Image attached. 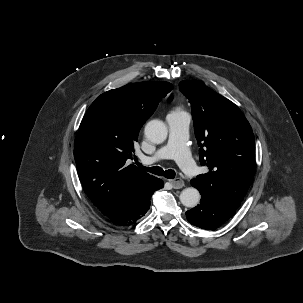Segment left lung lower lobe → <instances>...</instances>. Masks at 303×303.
Wrapping results in <instances>:
<instances>
[{"mask_svg":"<svg viewBox=\"0 0 303 303\" xmlns=\"http://www.w3.org/2000/svg\"><path fill=\"white\" fill-rule=\"evenodd\" d=\"M201 193V203L186 212L188 221L202 229H212L224 224L237 208L227 200L208 192Z\"/></svg>","mask_w":303,"mask_h":303,"instance_id":"1","label":"left lung lower lobe"}]
</instances>
